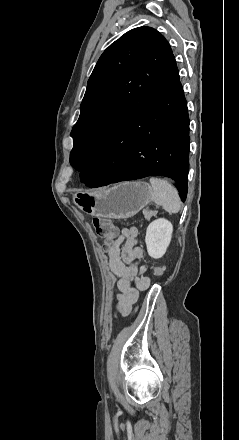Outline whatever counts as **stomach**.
I'll use <instances>...</instances> for the list:
<instances>
[{
	"label": "stomach",
	"mask_w": 239,
	"mask_h": 440,
	"mask_svg": "<svg viewBox=\"0 0 239 440\" xmlns=\"http://www.w3.org/2000/svg\"><path fill=\"white\" fill-rule=\"evenodd\" d=\"M152 188L145 182H121L113 188L77 192L74 202L82 212L97 218H132L152 200Z\"/></svg>",
	"instance_id": "0dacf381"
}]
</instances>
